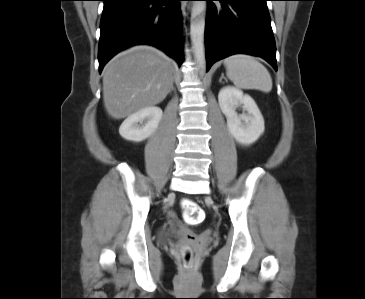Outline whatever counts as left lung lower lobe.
Wrapping results in <instances>:
<instances>
[{
  "mask_svg": "<svg viewBox=\"0 0 365 299\" xmlns=\"http://www.w3.org/2000/svg\"><path fill=\"white\" fill-rule=\"evenodd\" d=\"M207 71L218 60L244 53L260 56L275 70L276 45L271 28L267 0H205ZM212 1H219L215 5Z\"/></svg>",
  "mask_w": 365,
  "mask_h": 299,
  "instance_id": "obj_1",
  "label": "left lung lower lobe"
}]
</instances>
